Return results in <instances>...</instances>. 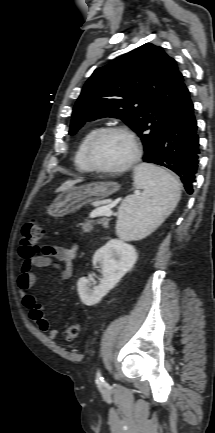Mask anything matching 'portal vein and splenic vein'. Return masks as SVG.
Masks as SVG:
<instances>
[{"instance_id": "portal-vein-and-splenic-vein-1", "label": "portal vein and splenic vein", "mask_w": 215, "mask_h": 433, "mask_svg": "<svg viewBox=\"0 0 215 433\" xmlns=\"http://www.w3.org/2000/svg\"><path fill=\"white\" fill-rule=\"evenodd\" d=\"M135 193L137 194L138 192H135ZM98 216L111 217L112 211H111L110 207H108V206L98 207L90 214L91 218H95Z\"/></svg>"}]
</instances>
